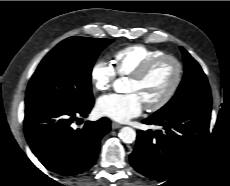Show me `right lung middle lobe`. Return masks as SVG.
<instances>
[{"instance_id":"1","label":"right lung middle lobe","mask_w":230,"mask_h":186,"mask_svg":"<svg viewBox=\"0 0 230 186\" xmlns=\"http://www.w3.org/2000/svg\"><path fill=\"white\" fill-rule=\"evenodd\" d=\"M113 40L69 37L53 48L33 74L25 104L59 101L80 105L93 100L91 71L99 53Z\"/></svg>"}]
</instances>
